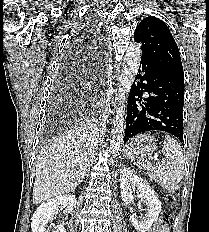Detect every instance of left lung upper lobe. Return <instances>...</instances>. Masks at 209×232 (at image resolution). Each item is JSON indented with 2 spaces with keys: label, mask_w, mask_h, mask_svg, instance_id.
Masks as SVG:
<instances>
[{
  "label": "left lung upper lobe",
  "mask_w": 209,
  "mask_h": 232,
  "mask_svg": "<svg viewBox=\"0 0 209 232\" xmlns=\"http://www.w3.org/2000/svg\"><path fill=\"white\" fill-rule=\"evenodd\" d=\"M134 40L141 44L142 56L160 70L184 78L178 46L163 21L153 16L144 18L136 27Z\"/></svg>",
  "instance_id": "obj_1"
}]
</instances>
